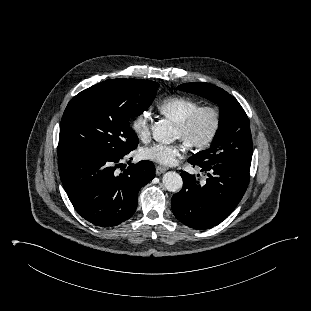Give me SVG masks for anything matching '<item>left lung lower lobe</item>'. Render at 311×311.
<instances>
[{"label": "left lung lower lobe", "instance_id": "left-lung-lower-lobe-1", "mask_svg": "<svg viewBox=\"0 0 311 311\" xmlns=\"http://www.w3.org/2000/svg\"><path fill=\"white\" fill-rule=\"evenodd\" d=\"M188 162L199 166L209 178L200 185L195 175L182 172L183 188L172 197V211L183 224L208 229L226 219L240 202L249 183L250 166Z\"/></svg>", "mask_w": 311, "mask_h": 311}]
</instances>
